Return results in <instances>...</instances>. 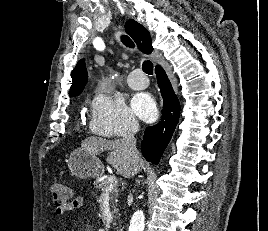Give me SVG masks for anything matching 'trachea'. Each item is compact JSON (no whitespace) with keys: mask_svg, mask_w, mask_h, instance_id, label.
<instances>
[{"mask_svg":"<svg viewBox=\"0 0 268 231\" xmlns=\"http://www.w3.org/2000/svg\"><path fill=\"white\" fill-rule=\"evenodd\" d=\"M121 41L123 42V44H125L127 47L133 48L134 47V43L132 42V40L124 35L121 37ZM142 69L146 74L152 75L153 74V64L151 61L146 60L143 62L142 65Z\"/></svg>","mask_w":268,"mask_h":231,"instance_id":"3493384b","label":"trachea"}]
</instances>
